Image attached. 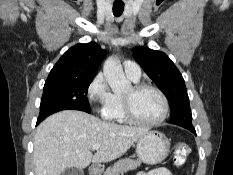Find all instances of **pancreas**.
Listing matches in <instances>:
<instances>
[{"label": "pancreas", "mask_w": 233, "mask_h": 175, "mask_svg": "<svg viewBox=\"0 0 233 175\" xmlns=\"http://www.w3.org/2000/svg\"><path fill=\"white\" fill-rule=\"evenodd\" d=\"M141 165L140 160L123 158L118 160L112 167L108 168L104 175H120L129 170H134Z\"/></svg>", "instance_id": "pancreas-1"}]
</instances>
